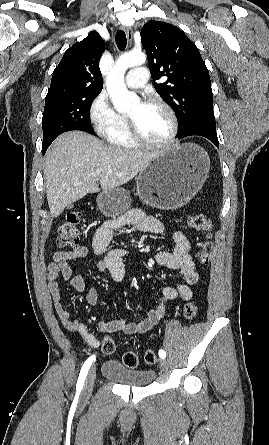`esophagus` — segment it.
<instances>
[{
  "mask_svg": "<svg viewBox=\"0 0 269 445\" xmlns=\"http://www.w3.org/2000/svg\"><path fill=\"white\" fill-rule=\"evenodd\" d=\"M122 29L126 33L128 41H132V38H133L132 29L128 26H123Z\"/></svg>",
  "mask_w": 269,
  "mask_h": 445,
  "instance_id": "obj_1",
  "label": "esophagus"
}]
</instances>
